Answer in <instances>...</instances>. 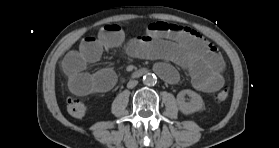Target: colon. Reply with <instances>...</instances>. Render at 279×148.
I'll return each mask as SVG.
<instances>
[{
	"label": "colon",
	"mask_w": 279,
	"mask_h": 148,
	"mask_svg": "<svg viewBox=\"0 0 279 148\" xmlns=\"http://www.w3.org/2000/svg\"><path fill=\"white\" fill-rule=\"evenodd\" d=\"M229 91L226 87L221 89L215 95V100L218 102L224 101L228 98ZM66 109L68 113L75 118H82L86 115L88 107L83 100L77 97H69L66 101Z\"/></svg>",
	"instance_id": "5ec220e1"
}]
</instances>
